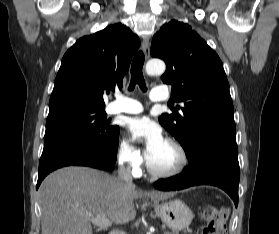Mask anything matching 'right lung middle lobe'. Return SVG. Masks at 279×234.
<instances>
[{"mask_svg": "<svg viewBox=\"0 0 279 234\" xmlns=\"http://www.w3.org/2000/svg\"><path fill=\"white\" fill-rule=\"evenodd\" d=\"M118 135L119 127L110 126L104 109L68 106L49 111L44 143L76 136L96 143L105 151H112Z\"/></svg>", "mask_w": 279, "mask_h": 234, "instance_id": "right-lung-middle-lobe-1", "label": "right lung middle lobe"}]
</instances>
